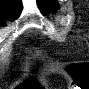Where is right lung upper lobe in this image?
<instances>
[{
    "mask_svg": "<svg viewBox=\"0 0 89 89\" xmlns=\"http://www.w3.org/2000/svg\"><path fill=\"white\" fill-rule=\"evenodd\" d=\"M0 10L2 18L14 20L22 11V2L21 0H1ZM0 22L2 23L1 20Z\"/></svg>",
    "mask_w": 89,
    "mask_h": 89,
    "instance_id": "1",
    "label": "right lung upper lobe"
}]
</instances>
